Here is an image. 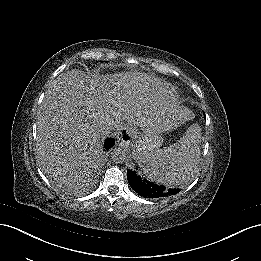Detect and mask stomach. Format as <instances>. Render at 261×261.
I'll use <instances>...</instances> for the list:
<instances>
[{
  "label": "stomach",
  "mask_w": 261,
  "mask_h": 261,
  "mask_svg": "<svg viewBox=\"0 0 261 261\" xmlns=\"http://www.w3.org/2000/svg\"><path fill=\"white\" fill-rule=\"evenodd\" d=\"M159 125V119L153 120L148 127L141 128L142 133L136 134L133 141V154L138 162L144 155L161 145V138L157 132Z\"/></svg>",
  "instance_id": "1"
}]
</instances>
